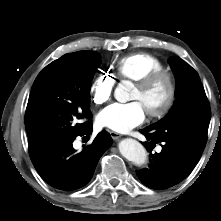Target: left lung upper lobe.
Masks as SVG:
<instances>
[{
	"instance_id": "1",
	"label": "left lung upper lobe",
	"mask_w": 221,
	"mask_h": 221,
	"mask_svg": "<svg viewBox=\"0 0 221 221\" xmlns=\"http://www.w3.org/2000/svg\"><path fill=\"white\" fill-rule=\"evenodd\" d=\"M176 78V101L160 121L148 126L156 140H179L204 149L211 110L196 71L179 58H170Z\"/></svg>"
}]
</instances>
